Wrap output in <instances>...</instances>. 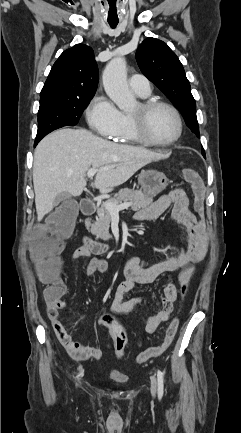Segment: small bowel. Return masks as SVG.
<instances>
[{
    "instance_id": "c3829d8e",
    "label": "small bowel",
    "mask_w": 241,
    "mask_h": 433,
    "mask_svg": "<svg viewBox=\"0 0 241 433\" xmlns=\"http://www.w3.org/2000/svg\"><path fill=\"white\" fill-rule=\"evenodd\" d=\"M171 207L173 208L172 215L183 233L184 245L176 254L150 267H143L140 264L138 256L131 257L124 266L125 280L117 286L111 300L110 310L112 313L128 314L135 308L144 305V299L141 296H134L128 300H124V296L133 290L136 285L151 283L159 275L176 270H181L180 276L186 274L191 277L195 265L204 259L207 251L205 225L190 212L189 198L185 190L174 189L168 194L161 196L155 202L140 209L136 213L135 218L138 221L155 220L166 213ZM90 256H92V253L84 246L79 247L73 253L74 260ZM107 269L108 263L105 259L92 256L86 265L85 273L88 277H92L96 274L105 273ZM66 293L67 288L65 286L58 298L47 302V314L55 335L72 359L77 361L98 360L101 357V350L96 347L83 345L73 339L59 318V310L67 306V302L62 299ZM177 294V287L173 283H167L164 286L161 297V308L148 317L146 333H154L162 323L169 319L173 311L174 302L177 299ZM98 324L101 326L105 325L102 315L98 318ZM140 345L141 343L138 342L136 346L139 347Z\"/></svg>"
}]
</instances>
